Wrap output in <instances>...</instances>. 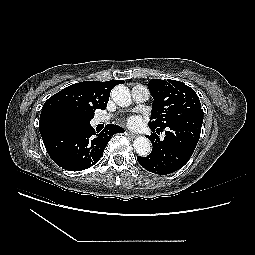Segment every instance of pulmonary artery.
<instances>
[{"label":"pulmonary artery","instance_id":"obj_1","mask_svg":"<svg viewBox=\"0 0 255 255\" xmlns=\"http://www.w3.org/2000/svg\"><path fill=\"white\" fill-rule=\"evenodd\" d=\"M132 100L135 103H142L149 98V91L143 85H135L131 91ZM112 118V115H101L96 118L97 123H105Z\"/></svg>","mask_w":255,"mask_h":255}]
</instances>
